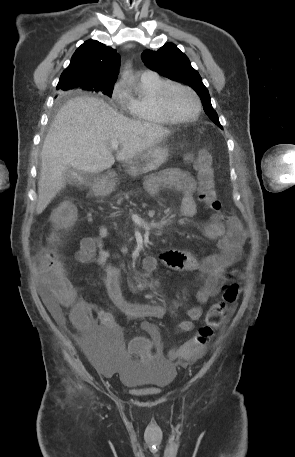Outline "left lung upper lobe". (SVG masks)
Listing matches in <instances>:
<instances>
[{
	"label": "left lung upper lobe",
	"mask_w": 295,
	"mask_h": 457,
	"mask_svg": "<svg viewBox=\"0 0 295 457\" xmlns=\"http://www.w3.org/2000/svg\"><path fill=\"white\" fill-rule=\"evenodd\" d=\"M145 65L160 75L188 84L202 100L205 113L222 127L210 101V95L199 73L192 68L188 57L175 44L166 43L157 51L145 50L142 53Z\"/></svg>",
	"instance_id": "obj_1"
}]
</instances>
